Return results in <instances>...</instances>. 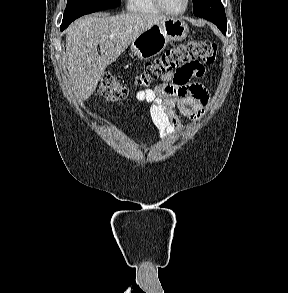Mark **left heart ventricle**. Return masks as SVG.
Listing matches in <instances>:
<instances>
[{
    "label": "left heart ventricle",
    "mask_w": 288,
    "mask_h": 293,
    "mask_svg": "<svg viewBox=\"0 0 288 293\" xmlns=\"http://www.w3.org/2000/svg\"><path fill=\"white\" fill-rule=\"evenodd\" d=\"M165 6L173 11L181 10L184 7L185 0H162Z\"/></svg>",
    "instance_id": "left-heart-ventricle-1"
}]
</instances>
